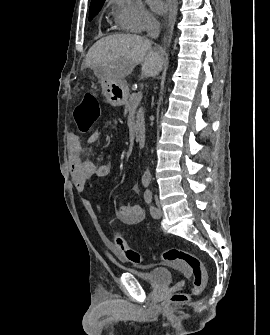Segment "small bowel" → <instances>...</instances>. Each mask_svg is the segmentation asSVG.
<instances>
[{
	"mask_svg": "<svg viewBox=\"0 0 270 335\" xmlns=\"http://www.w3.org/2000/svg\"><path fill=\"white\" fill-rule=\"evenodd\" d=\"M100 138V131L95 132L88 140L89 144H95ZM68 163L72 180L76 189L83 192L87 182L93 177H106L111 172V165L108 162L96 163L85 159L82 153V145L75 134L69 135L68 145ZM136 192L139 191L137 186L134 187ZM85 209L93 213V207L89 200L83 201ZM119 221L127 226H134L144 221L145 212L139 205H123L116 211Z\"/></svg>",
	"mask_w": 270,
	"mask_h": 335,
	"instance_id": "c3829d8e",
	"label": "small bowel"
}]
</instances>
